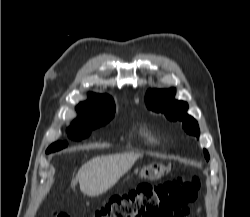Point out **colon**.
<instances>
[{"label":"colon","mask_w":250,"mask_h":217,"mask_svg":"<svg viewBox=\"0 0 250 217\" xmlns=\"http://www.w3.org/2000/svg\"><path fill=\"white\" fill-rule=\"evenodd\" d=\"M200 188V179L179 177L161 184H140L137 188L113 197L92 217H184L189 203ZM54 217H70L56 213Z\"/></svg>","instance_id":"colon-1"}]
</instances>
